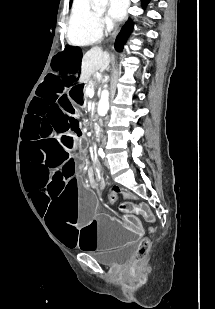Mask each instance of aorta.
Returning <instances> with one entry per match:
<instances>
[{"instance_id":"obj_1","label":"aorta","mask_w":215,"mask_h":309,"mask_svg":"<svg viewBox=\"0 0 215 309\" xmlns=\"http://www.w3.org/2000/svg\"><path fill=\"white\" fill-rule=\"evenodd\" d=\"M108 0H91L93 8H105ZM109 108V94L108 92H102L101 98L98 102L97 112L99 116H105Z\"/></svg>"}]
</instances>
